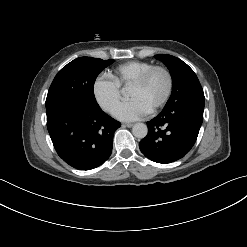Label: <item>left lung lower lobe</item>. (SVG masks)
I'll return each instance as SVG.
<instances>
[{
	"instance_id": "0a47b994",
	"label": "left lung lower lobe",
	"mask_w": 247,
	"mask_h": 247,
	"mask_svg": "<svg viewBox=\"0 0 247 247\" xmlns=\"http://www.w3.org/2000/svg\"><path fill=\"white\" fill-rule=\"evenodd\" d=\"M204 111V99H189L163 109L147 122L148 134L139 143L150 160L167 164L186 155L196 142Z\"/></svg>"
}]
</instances>
